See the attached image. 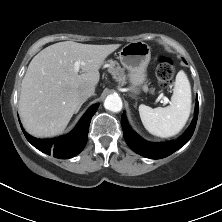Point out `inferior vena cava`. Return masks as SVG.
Returning <instances> with one entry per match:
<instances>
[{"instance_id":"602c4592","label":"inferior vena cava","mask_w":222,"mask_h":222,"mask_svg":"<svg viewBox=\"0 0 222 222\" xmlns=\"http://www.w3.org/2000/svg\"><path fill=\"white\" fill-rule=\"evenodd\" d=\"M94 92H95V86L91 84L82 86L79 89V95L83 100L94 95Z\"/></svg>"}]
</instances>
